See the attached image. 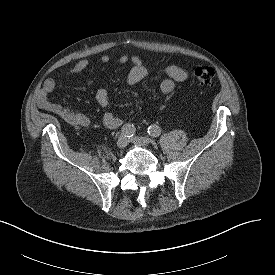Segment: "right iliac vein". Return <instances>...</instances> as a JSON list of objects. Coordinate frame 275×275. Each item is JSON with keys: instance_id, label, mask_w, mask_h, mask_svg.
Listing matches in <instances>:
<instances>
[{"instance_id": "obj_1", "label": "right iliac vein", "mask_w": 275, "mask_h": 275, "mask_svg": "<svg viewBox=\"0 0 275 275\" xmlns=\"http://www.w3.org/2000/svg\"><path fill=\"white\" fill-rule=\"evenodd\" d=\"M129 143V139L125 136V135H121L119 136L118 140H117V146L119 148H124L128 145Z\"/></svg>"}]
</instances>
